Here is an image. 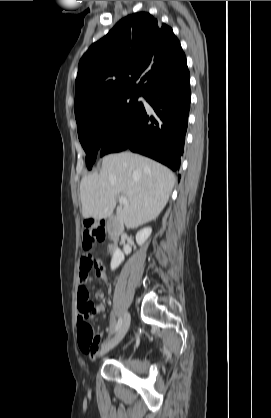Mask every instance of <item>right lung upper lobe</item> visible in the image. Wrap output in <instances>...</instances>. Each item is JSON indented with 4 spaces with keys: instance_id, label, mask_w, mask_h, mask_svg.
Listing matches in <instances>:
<instances>
[{
    "instance_id": "right-lung-upper-lobe-1",
    "label": "right lung upper lobe",
    "mask_w": 271,
    "mask_h": 418,
    "mask_svg": "<svg viewBox=\"0 0 271 418\" xmlns=\"http://www.w3.org/2000/svg\"><path fill=\"white\" fill-rule=\"evenodd\" d=\"M185 61L171 27L147 12L128 15L81 58L75 116L123 93L145 96Z\"/></svg>"
}]
</instances>
